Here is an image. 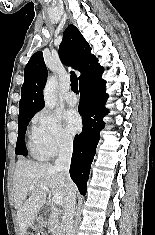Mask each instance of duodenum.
<instances>
[{
  "mask_svg": "<svg viewBox=\"0 0 155 235\" xmlns=\"http://www.w3.org/2000/svg\"><path fill=\"white\" fill-rule=\"evenodd\" d=\"M55 209L54 208H47L45 211L46 212H51V211H54Z\"/></svg>",
  "mask_w": 155,
  "mask_h": 235,
  "instance_id": "obj_1",
  "label": "duodenum"
}]
</instances>
